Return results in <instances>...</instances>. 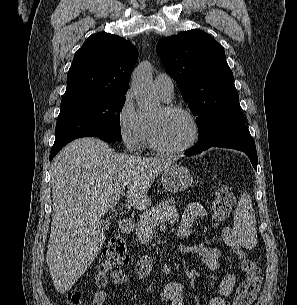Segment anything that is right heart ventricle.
Masks as SVG:
<instances>
[{
    "label": "right heart ventricle",
    "mask_w": 297,
    "mask_h": 305,
    "mask_svg": "<svg viewBox=\"0 0 297 305\" xmlns=\"http://www.w3.org/2000/svg\"><path fill=\"white\" fill-rule=\"evenodd\" d=\"M145 122H146V130H145L143 142L149 144V121L145 118Z\"/></svg>",
    "instance_id": "1"
}]
</instances>
